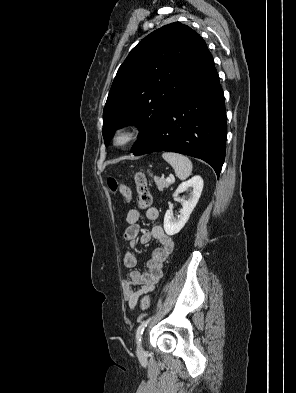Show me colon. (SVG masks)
<instances>
[{"instance_id": "obj_1", "label": "colon", "mask_w": 296, "mask_h": 393, "mask_svg": "<svg viewBox=\"0 0 296 393\" xmlns=\"http://www.w3.org/2000/svg\"><path fill=\"white\" fill-rule=\"evenodd\" d=\"M135 184L138 194L137 206L141 210L148 209L151 204V195L148 188L147 176L144 172L135 174ZM108 186L113 192H119L126 202L133 200L130 187L124 183L118 182L113 178L108 179ZM150 306V298L144 296L141 300V309L146 311Z\"/></svg>"}]
</instances>
